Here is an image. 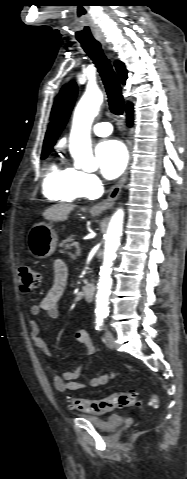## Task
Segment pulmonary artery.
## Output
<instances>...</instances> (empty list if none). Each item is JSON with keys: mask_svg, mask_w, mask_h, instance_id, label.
<instances>
[{"mask_svg": "<svg viewBox=\"0 0 187 479\" xmlns=\"http://www.w3.org/2000/svg\"><path fill=\"white\" fill-rule=\"evenodd\" d=\"M112 125L109 122L96 123L92 130L97 136H107L112 132Z\"/></svg>", "mask_w": 187, "mask_h": 479, "instance_id": "1", "label": "pulmonary artery"}]
</instances>
